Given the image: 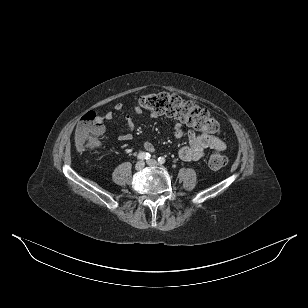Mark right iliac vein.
<instances>
[{"label": "right iliac vein", "mask_w": 308, "mask_h": 308, "mask_svg": "<svg viewBox=\"0 0 308 308\" xmlns=\"http://www.w3.org/2000/svg\"><path fill=\"white\" fill-rule=\"evenodd\" d=\"M144 167H145V163H144L143 161H139V162H137L136 165H135V169H136L137 171L142 170Z\"/></svg>", "instance_id": "63e3f726"}]
</instances>
